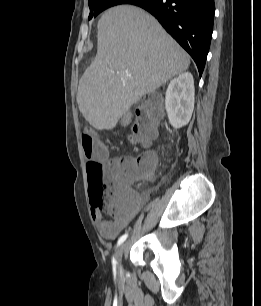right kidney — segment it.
<instances>
[{"label":"right kidney","instance_id":"obj_1","mask_svg":"<svg viewBox=\"0 0 261 306\" xmlns=\"http://www.w3.org/2000/svg\"><path fill=\"white\" fill-rule=\"evenodd\" d=\"M194 80L189 72L172 79L165 94V108L173 128L185 126L194 109Z\"/></svg>","mask_w":261,"mask_h":306}]
</instances>
